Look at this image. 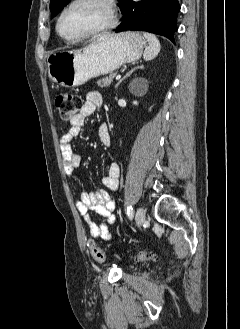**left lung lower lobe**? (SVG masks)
<instances>
[{
  "label": "left lung lower lobe",
  "instance_id": "0a47b994",
  "mask_svg": "<svg viewBox=\"0 0 240 329\" xmlns=\"http://www.w3.org/2000/svg\"><path fill=\"white\" fill-rule=\"evenodd\" d=\"M178 0H126L121 10L123 20L115 32L127 30L148 31L167 37L174 42L177 31Z\"/></svg>",
  "mask_w": 240,
  "mask_h": 329
}]
</instances>
